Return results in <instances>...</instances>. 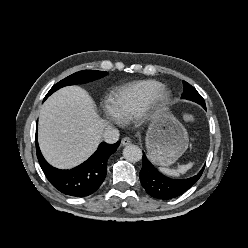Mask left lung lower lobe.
Listing matches in <instances>:
<instances>
[{
  "label": "left lung lower lobe",
  "instance_id": "left-lung-lower-lobe-1",
  "mask_svg": "<svg viewBox=\"0 0 248 248\" xmlns=\"http://www.w3.org/2000/svg\"><path fill=\"white\" fill-rule=\"evenodd\" d=\"M206 109V106H202ZM205 167V166H204ZM204 167L188 179H171L161 174L143 155L140 181L146 192L157 199L168 200L180 196L191 188L200 178Z\"/></svg>",
  "mask_w": 248,
  "mask_h": 248
}]
</instances>
